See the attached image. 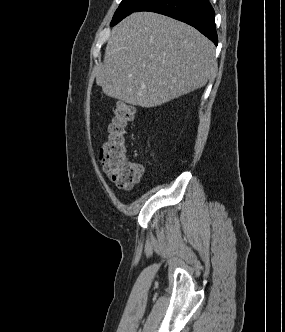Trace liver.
I'll return each instance as SVG.
<instances>
[{"label": "liver", "instance_id": "6515ba94", "mask_svg": "<svg viewBox=\"0 0 285 332\" xmlns=\"http://www.w3.org/2000/svg\"><path fill=\"white\" fill-rule=\"evenodd\" d=\"M216 69L213 43L195 28L138 12L113 28L96 84L109 97L151 108L203 87Z\"/></svg>", "mask_w": 285, "mask_h": 332}]
</instances>
